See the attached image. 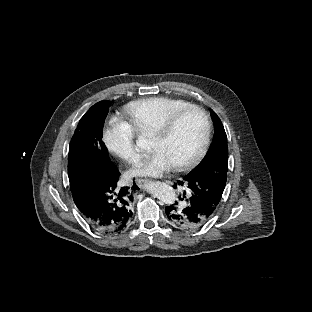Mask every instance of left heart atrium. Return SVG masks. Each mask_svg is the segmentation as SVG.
<instances>
[{
  "label": "left heart atrium",
  "instance_id": "1",
  "mask_svg": "<svg viewBox=\"0 0 312 312\" xmlns=\"http://www.w3.org/2000/svg\"><path fill=\"white\" fill-rule=\"evenodd\" d=\"M172 171L171 155L167 152L160 153L157 149H150L147 156L129 167V176L132 179L148 180L166 177Z\"/></svg>",
  "mask_w": 312,
  "mask_h": 312
}]
</instances>
